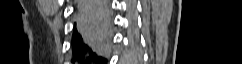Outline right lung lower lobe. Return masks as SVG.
<instances>
[{
  "label": "right lung lower lobe",
  "mask_w": 242,
  "mask_h": 64,
  "mask_svg": "<svg viewBox=\"0 0 242 64\" xmlns=\"http://www.w3.org/2000/svg\"><path fill=\"white\" fill-rule=\"evenodd\" d=\"M111 22L108 0H80L72 32V63H105L111 41Z\"/></svg>",
  "instance_id": "98d812e1"
}]
</instances>
